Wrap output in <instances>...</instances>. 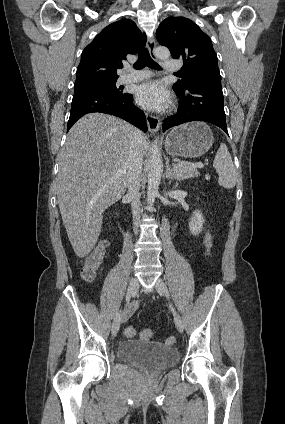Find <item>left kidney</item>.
<instances>
[{
    "label": "left kidney",
    "instance_id": "1",
    "mask_svg": "<svg viewBox=\"0 0 285 424\" xmlns=\"http://www.w3.org/2000/svg\"><path fill=\"white\" fill-rule=\"evenodd\" d=\"M203 223L204 219L202 213L199 210L194 211L189 221V229L191 234L198 235L203 229Z\"/></svg>",
    "mask_w": 285,
    "mask_h": 424
}]
</instances>
